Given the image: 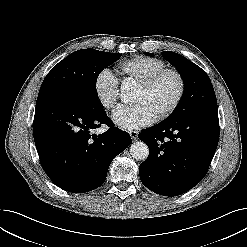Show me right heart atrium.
<instances>
[{"label":"right heart atrium","mask_w":247,"mask_h":247,"mask_svg":"<svg viewBox=\"0 0 247 247\" xmlns=\"http://www.w3.org/2000/svg\"><path fill=\"white\" fill-rule=\"evenodd\" d=\"M94 94L98 102L106 109H113L119 100V81L108 69L100 70L93 83Z\"/></svg>","instance_id":"d8ad5b80"}]
</instances>
